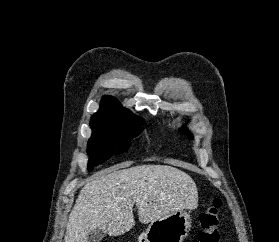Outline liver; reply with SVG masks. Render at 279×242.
Here are the masks:
<instances>
[{
    "mask_svg": "<svg viewBox=\"0 0 279 242\" xmlns=\"http://www.w3.org/2000/svg\"><path fill=\"white\" fill-rule=\"evenodd\" d=\"M130 165L103 170L85 184L69 215L64 242H87L96 228L110 236L124 234L135 225L134 204L144 224L197 208L196 184L184 171L168 165Z\"/></svg>",
    "mask_w": 279,
    "mask_h": 242,
    "instance_id": "1",
    "label": "liver"
}]
</instances>
